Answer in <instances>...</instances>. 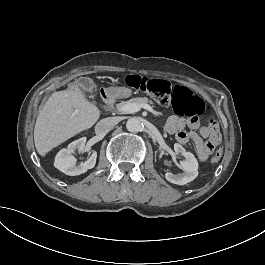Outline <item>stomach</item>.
I'll return each mask as SVG.
<instances>
[{
  "instance_id": "stomach-1",
  "label": "stomach",
  "mask_w": 265,
  "mask_h": 265,
  "mask_svg": "<svg viewBox=\"0 0 265 265\" xmlns=\"http://www.w3.org/2000/svg\"><path fill=\"white\" fill-rule=\"evenodd\" d=\"M115 95L122 94L123 96H131L132 95V89L130 88H119L118 90L114 91Z\"/></svg>"
}]
</instances>
